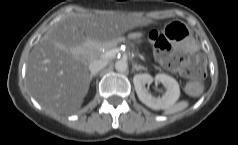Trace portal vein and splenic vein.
<instances>
[{"instance_id":"obj_1","label":"portal vein and splenic vein","mask_w":238,"mask_h":145,"mask_svg":"<svg viewBox=\"0 0 238 145\" xmlns=\"http://www.w3.org/2000/svg\"><path fill=\"white\" fill-rule=\"evenodd\" d=\"M119 52V49H112L108 52L105 53V57L106 58H112L113 56H115L117 53Z\"/></svg>"}]
</instances>
